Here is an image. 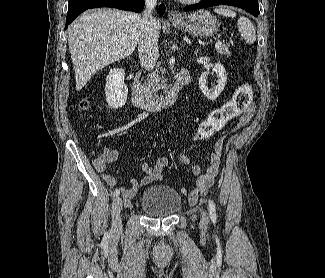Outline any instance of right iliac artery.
<instances>
[{
  "label": "right iliac artery",
  "mask_w": 325,
  "mask_h": 278,
  "mask_svg": "<svg viewBox=\"0 0 325 278\" xmlns=\"http://www.w3.org/2000/svg\"><path fill=\"white\" fill-rule=\"evenodd\" d=\"M119 194H120V191L116 189V190L114 191V193H113V197H114V198H115V197H118Z\"/></svg>",
  "instance_id": "right-iliac-artery-1"
}]
</instances>
